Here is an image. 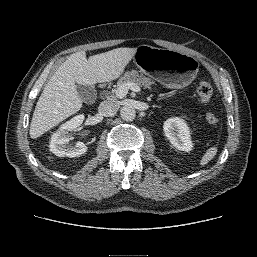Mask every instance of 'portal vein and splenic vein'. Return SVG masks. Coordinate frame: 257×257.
Returning <instances> with one entry per match:
<instances>
[{
  "label": "portal vein and splenic vein",
  "mask_w": 257,
  "mask_h": 257,
  "mask_svg": "<svg viewBox=\"0 0 257 257\" xmlns=\"http://www.w3.org/2000/svg\"><path fill=\"white\" fill-rule=\"evenodd\" d=\"M132 90L133 92H139L140 91V87L132 82H128L125 85H121L119 86L116 90H115V94L118 98H123L124 96L127 95L128 90Z\"/></svg>",
  "instance_id": "18ae733b"
}]
</instances>
